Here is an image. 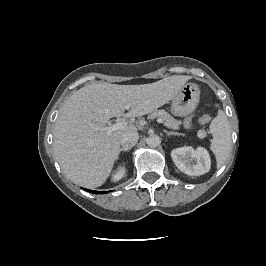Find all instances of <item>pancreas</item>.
<instances>
[{
	"label": "pancreas",
	"instance_id": "1",
	"mask_svg": "<svg viewBox=\"0 0 266 266\" xmlns=\"http://www.w3.org/2000/svg\"><path fill=\"white\" fill-rule=\"evenodd\" d=\"M151 117H160L163 120L164 125L170 129L178 130L180 128L181 121L176 120L164 110L155 111Z\"/></svg>",
	"mask_w": 266,
	"mask_h": 266
}]
</instances>
